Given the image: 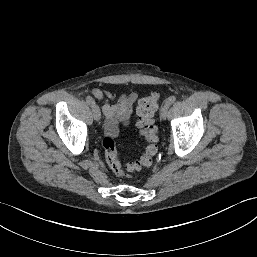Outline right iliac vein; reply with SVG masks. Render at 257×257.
<instances>
[{
    "label": "right iliac vein",
    "mask_w": 257,
    "mask_h": 257,
    "mask_svg": "<svg viewBox=\"0 0 257 257\" xmlns=\"http://www.w3.org/2000/svg\"><path fill=\"white\" fill-rule=\"evenodd\" d=\"M93 117H94V120L97 122L101 119V111L97 105H94L93 107Z\"/></svg>",
    "instance_id": "right-iliac-vein-1"
}]
</instances>
